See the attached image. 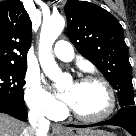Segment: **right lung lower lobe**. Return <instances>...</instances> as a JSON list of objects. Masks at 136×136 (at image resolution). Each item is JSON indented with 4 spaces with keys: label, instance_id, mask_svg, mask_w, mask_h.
<instances>
[{
    "label": "right lung lower lobe",
    "instance_id": "right-lung-lower-lobe-1",
    "mask_svg": "<svg viewBox=\"0 0 136 136\" xmlns=\"http://www.w3.org/2000/svg\"><path fill=\"white\" fill-rule=\"evenodd\" d=\"M0 112L9 114L21 121H26L27 119V109L24 105L0 104Z\"/></svg>",
    "mask_w": 136,
    "mask_h": 136
}]
</instances>
